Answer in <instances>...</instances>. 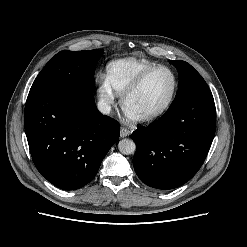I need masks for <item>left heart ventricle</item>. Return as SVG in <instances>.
<instances>
[{"mask_svg":"<svg viewBox=\"0 0 247 247\" xmlns=\"http://www.w3.org/2000/svg\"><path fill=\"white\" fill-rule=\"evenodd\" d=\"M173 81L169 73L156 71L149 75L137 92L127 101V108L136 114L161 107L169 98Z\"/></svg>","mask_w":247,"mask_h":247,"instance_id":"b2bd125f","label":"left heart ventricle"}]
</instances>
